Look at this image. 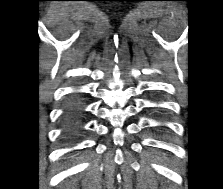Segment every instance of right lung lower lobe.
<instances>
[{"label": "right lung lower lobe", "mask_w": 223, "mask_h": 189, "mask_svg": "<svg viewBox=\"0 0 223 189\" xmlns=\"http://www.w3.org/2000/svg\"><path fill=\"white\" fill-rule=\"evenodd\" d=\"M83 119L82 100L78 94L72 95L66 102L65 112L62 116V127L64 128L63 139L74 140L80 133Z\"/></svg>", "instance_id": "1"}]
</instances>
